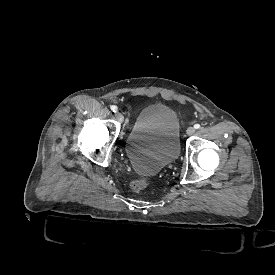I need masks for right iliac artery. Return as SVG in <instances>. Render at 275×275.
<instances>
[{
	"mask_svg": "<svg viewBox=\"0 0 275 275\" xmlns=\"http://www.w3.org/2000/svg\"><path fill=\"white\" fill-rule=\"evenodd\" d=\"M110 108L113 112H117V107L116 106L112 105Z\"/></svg>",
	"mask_w": 275,
	"mask_h": 275,
	"instance_id": "obj_1",
	"label": "right iliac artery"
}]
</instances>
